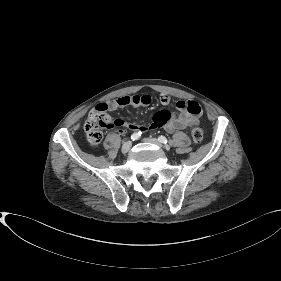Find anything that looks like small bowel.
I'll use <instances>...</instances> for the list:
<instances>
[{"label":"small bowel","instance_id":"small-bowel-1","mask_svg":"<svg viewBox=\"0 0 281 281\" xmlns=\"http://www.w3.org/2000/svg\"><path fill=\"white\" fill-rule=\"evenodd\" d=\"M151 101L152 97L149 94L127 95L108 102L99 103L96 108L112 111L123 107L148 106ZM159 102L164 107H168L171 103V100L167 94L163 93L159 96ZM176 108V113H171L166 109L156 112L152 117L151 123L149 124H137L118 118L115 119V127H123L134 133L142 134L148 131L156 130L158 128H164L168 132H173L175 130L188 129L197 124L198 117L201 114V108L198 103L195 101H178L176 103ZM120 131L122 132V130Z\"/></svg>","mask_w":281,"mask_h":281}]
</instances>
